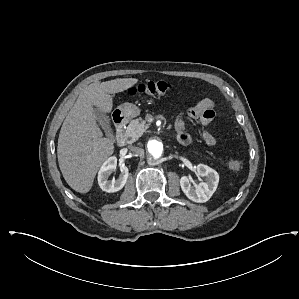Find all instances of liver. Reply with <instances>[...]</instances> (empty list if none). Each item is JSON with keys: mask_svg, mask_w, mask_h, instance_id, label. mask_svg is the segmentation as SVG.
Returning a JSON list of instances; mask_svg holds the SVG:
<instances>
[{"mask_svg": "<svg viewBox=\"0 0 299 299\" xmlns=\"http://www.w3.org/2000/svg\"><path fill=\"white\" fill-rule=\"evenodd\" d=\"M137 82L136 78L94 82L80 93L70 109L59 133L57 157L62 175L73 190L89 192L100 166L114 152L113 140L102 137L94 108L111 112V94L123 92Z\"/></svg>", "mask_w": 299, "mask_h": 299, "instance_id": "6515ba94", "label": "liver"}]
</instances>
